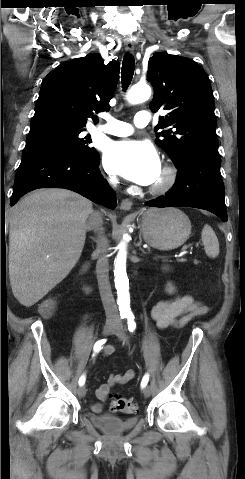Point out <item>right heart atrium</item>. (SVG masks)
<instances>
[{"mask_svg": "<svg viewBox=\"0 0 245 479\" xmlns=\"http://www.w3.org/2000/svg\"><path fill=\"white\" fill-rule=\"evenodd\" d=\"M107 180H108V182L111 183V184H116V183H117V178H116L113 174H111V173H109V174L107 175Z\"/></svg>", "mask_w": 245, "mask_h": 479, "instance_id": "1", "label": "right heart atrium"}]
</instances>
